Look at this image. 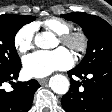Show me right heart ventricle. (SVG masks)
Segmentation results:
<instances>
[{"mask_svg": "<svg viewBox=\"0 0 112 112\" xmlns=\"http://www.w3.org/2000/svg\"><path fill=\"white\" fill-rule=\"evenodd\" d=\"M42 25L49 31L58 36L64 35L71 31L72 25L59 18H49L42 22Z\"/></svg>", "mask_w": 112, "mask_h": 112, "instance_id": "e07e8e85", "label": "right heart ventricle"}]
</instances>
